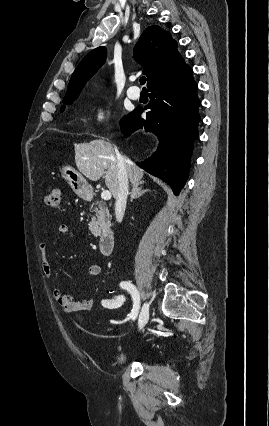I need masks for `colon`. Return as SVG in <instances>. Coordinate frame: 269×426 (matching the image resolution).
Instances as JSON below:
<instances>
[{"mask_svg":"<svg viewBox=\"0 0 269 426\" xmlns=\"http://www.w3.org/2000/svg\"><path fill=\"white\" fill-rule=\"evenodd\" d=\"M45 203L53 209H60L62 203V191L60 187H53L45 196Z\"/></svg>","mask_w":269,"mask_h":426,"instance_id":"obj_1","label":"colon"}]
</instances>
